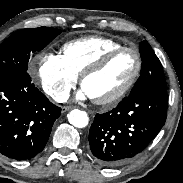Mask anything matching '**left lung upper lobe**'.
I'll use <instances>...</instances> for the list:
<instances>
[{
    "mask_svg": "<svg viewBox=\"0 0 183 183\" xmlns=\"http://www.w3.org/2000/svg\"><path fill=\"white\" fill-rule=\"evenodd\" d=\"M139 49L142 59L141 75L136 81L131 93L153 88L166 90V81L160 60L155 55L151 46L147 41H143Z\"/></svg>",
    "mask_w": 183,
    "mask_h": 183,
    "instance_id": "1",
    "label": "left lung upper lobe"
}]
</instances>
